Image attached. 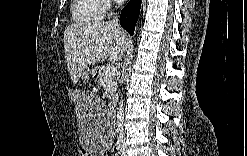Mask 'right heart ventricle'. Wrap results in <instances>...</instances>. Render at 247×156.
<instances>
[{
    "label": "right heart ventricle",
    "mask_w": 247,
    "mask_h": 156,
    "mask_svg": "<svg viewBox=\"0 0 247 156\" xmlns=\"http://www.w3.org/2000/svg\"><path fill=\"white\" fill-rule=\"evenodd\" d=\"M71 13L74 21L91 23L102 19L104 5L98 0H76L72 4Z\"/></svg>",
    "instance_id": "e07e8e85"
}]
</instances>
